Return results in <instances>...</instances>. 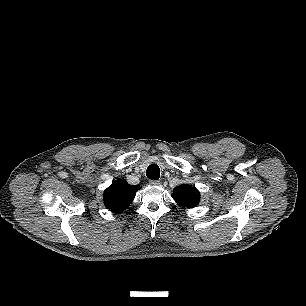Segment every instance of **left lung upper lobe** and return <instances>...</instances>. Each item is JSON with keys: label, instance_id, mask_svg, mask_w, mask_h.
Instances as JSON below:
<instances>
[{"label": "left lung upper lobe", "instance_id": "1", "mask_svg": "<svg viewBox=\"0 0 306 306\" xmlns=\"http://www.w3.org/2000/svg\"><path fill=\"white\" fill-rule=\"evenodd\" d=\"M174 200L182 207L193 208L199 203V191L195 187L182 184L174 189Z\"/></svg>", "mask_w": 306, "mask_h": 306}]
</instances>
